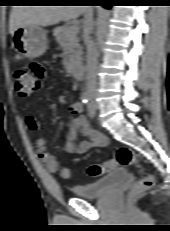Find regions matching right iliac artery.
Here are the masks:
<instances>
[{
	"label": "right iliac artery",
	"mask_w": 170,
	"mask_h": 231,
	"mask_svg": "<svg viewBox=\"0 0 170 231\" xmlns=\"http://www.w3.org/2000/svg\"><path fill=\"white\" fill-rule=\"evenodd\" d=\"M80 99H81V101H82L83 104H87L88 101H89V94H88V92L82 93Z\"/></svg>",
	"instance_id": "1"
}]
</instances>
